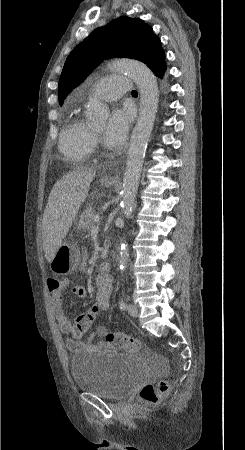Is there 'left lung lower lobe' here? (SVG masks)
I'll return each instance as SVG.
<instances>
[{
  "label": "left lung lower lobe",
  "mask_w": 245,
  "mask_h": 450,
  "mask_svg": "<svg viewBox=\"0 0 245 450\" xmlns=\"http://www.w3.org/2000/svg\"><path fill=\"white\" fill-rule=\"evenodd\" d=\"M166 69V65L165 62H163L162 64H160L159 66H157L153 72L155 73L156 76L158 77H162L164 75Z\"/></svg>",
  "instance_id": "obj_1"
}]
</instances>
